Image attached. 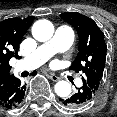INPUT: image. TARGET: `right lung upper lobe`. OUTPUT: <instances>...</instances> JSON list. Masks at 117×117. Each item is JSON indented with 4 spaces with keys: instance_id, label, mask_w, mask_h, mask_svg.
I'll list each match as a JSON object with an SVG mask.
<instances>
[{
    "instance_id": "obj_1",
    "label": "right lung upper lobe",
    "mask_w": 117,
    "mask_h": 117,
    "mask_svg": "<svg viewBox=\"0 0 117 117\" xmlns=\"http://www.w3.org/2000/svg\"><path fill=\"white\" fill-rule=\"evenodd\" d=\"M34 17L9 18L0 22V91L14 76L10 73L9 60L18 56L19 44Z\"/></svg>"
}]
</instances>
